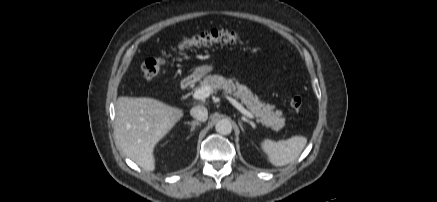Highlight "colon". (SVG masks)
<instances>
[{"label": "colon", "mask_w": 437, "mask_h": 202, "mask_svg": "<svg viewBox=\"0 0 437 202\" xmlns=\"http://www.w3.org/2000/svg\"><path fill=\"white\" fill-rule=\"evenodd\" d=\"M242 37L240 34L224 29H214L211 31L202 32L198 35L183 38L173 48L174 51L184 50L190 47L206 46L215 43L219 44H234L240 42ZM164 64L162 57H151L146 59L142 66V73L146 80L154 79ZM290 106L295 111H300L303 107V99L300 96H294L290 99Z\"/></svg>", "instance_id": "5ec220e1"}]
</instances>
